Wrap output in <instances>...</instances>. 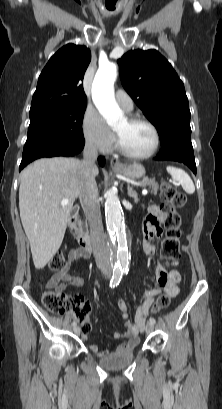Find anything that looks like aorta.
Wrapping results in <instances>:
<instances>
[{"label": "aorta", "mask_w": 222, "mask_h": 409, "mask_svg": "<svg viewBox=\"0 0 222 409\" xmlns=\"http://www.w3.org/2000/svg\"><path fill=\"white\" fill-rule=\"evenodd\" d=\"M116 76V65L108 63L99 67L92 84V100L110 126L118 123L122 117L121 110L114 98ZM105 214L114 264L122 271L128 268L130 259L128 232L119 198L113 190L106 193Z\"/></svg>", "instance_id": "aorta-1"}]
</instances>
